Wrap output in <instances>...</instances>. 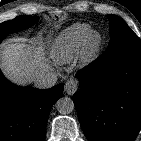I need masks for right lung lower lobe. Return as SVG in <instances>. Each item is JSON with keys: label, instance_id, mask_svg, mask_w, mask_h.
<instances>
[{"label": "right lung lower lobe", "instance_id": "obj_1", "mask_svg": "<svg viewBox=\"0 0 141 141\" xmlns=\"http://www.w3.org/2000/svg\"><path fill=\"white\" fill-rule=\"evenodd\" d=\"M62 95L63 84L22 88L0 71V141H44L50 108Z\"/></svg>", "mask_w": 141, "mask_h": 141}]
</instances>
